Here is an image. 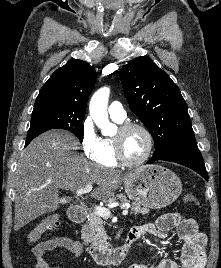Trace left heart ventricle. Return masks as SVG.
Wrapping results in <instances>:
<instances>
[{
	"label": "left heart ventricle",
	"instance_id": "left-heart-ventricle-1",
	"mask_svg": "<svg viewBox=\"0 0 221 268\" xmlns=\"http://www.w3.org/2000/svg\"><path fill=\"white\" fill-rule=\"evenodd\" d=\"M114 137H118L121 142L124 156L132 161L140 159L147 148V139L145 134L139 129H130L124 133H117Z\"/></svg>",
	"mask_w": 221,
	"mask_h": 268
}]
</instances>
